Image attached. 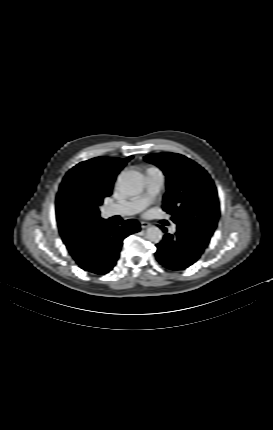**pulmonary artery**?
<instances>
[{
	"label": "pulmonary artery",
	"instance_id": "obj_1",
	"mask_svg": "<svg viewBox=\"0 0 273 430\" xmlns=\"http://www.w3.org/2000/svg\"><path fill=\"white\" fill-rule=\"evenodd\" d=\"M163 185L164 175L162 171L157 168H150L146 172V192L135 200L107 206L105 214L108 217L137 214L153 201L155 196L161 191ZM170 232H176V227L172 226Z\"/></svg>",
	"mask_w": 273,
	"mask_h": 430
}]
</instances>
